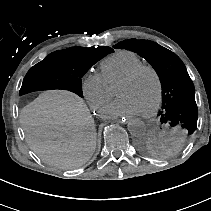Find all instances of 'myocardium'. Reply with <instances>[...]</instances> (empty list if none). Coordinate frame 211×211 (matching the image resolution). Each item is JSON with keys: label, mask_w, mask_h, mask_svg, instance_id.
<instances>
[{"label": "myocardium", "mask_w": 211, "mask_h": 211, "mask_svg": "<svg viewBox=\"0 0 211 211\" xmlns=\"http://www.w3.org/2000/svg\"><path fill=\"white\" fill-rule=\"evenodd\" d=\"M142 71H149L153 75L157 84V95L153 106L148 111L141 113L143 117H150L153 116L159 110L163 100V82L156 68L149 64L138 65L137 67L129 71L126 75H124L122 78H120L118 83L131 81Z\"/></svg>", "instance_id": "f54148a6"}]
</instances>
